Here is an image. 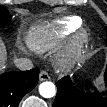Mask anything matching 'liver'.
Returning a JSON list of instances; mask_svg holds the SVG:
<instances>
[{"mask_svg":"<svg viewBox=\"0 0 107 107\" xmlns=\"http://www.w3.org/2000/svg\"><path fill=\"white\" fill-rule=\"evenodd\" d=\"M5 59H6V52H5L4 49H1V51H0V65H1V70L4 69Z\"/></svg>","mask_w":107,"mask_h":107,"instance_id":"liver-1","label":"liver"}]
</instances>
